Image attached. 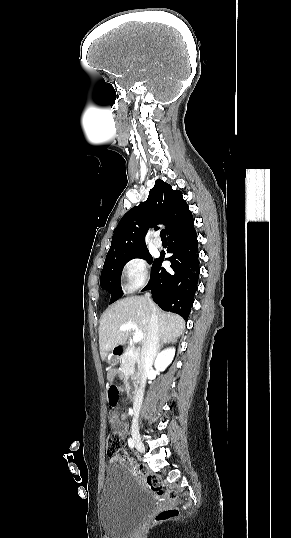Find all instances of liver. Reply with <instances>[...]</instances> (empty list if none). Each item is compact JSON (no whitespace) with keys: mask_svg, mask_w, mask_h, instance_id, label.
Returning a JSON list of instances; mask_svg holds the SVG:
<instances>
[{"mask_svg":"<svg viewBox=\"0 0 291 538\" xmlns=\"http://www.w3.org/2000/svg\"><path fill=\"white\" fill-rule=\"evenodd\" d=\"M155 306V304H154ZM159 339L162 342L176 340L183 334L184 320L172 313H166L155 306ZM152 309L149 300L143 296H131L111 305L101 316L99 325V346L101 359H106L110 351L125 344L131 330L121 331L119 327L127 322L135 323L143 333L142 341L146 340Z\"/></svg>","mask_w":291,"mask_h":538,"instance_id":"1","label":"liver"}]
</instances>
